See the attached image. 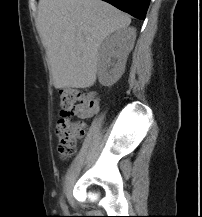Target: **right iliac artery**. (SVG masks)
Listing matches in <instances>:
<instances>
[{"label":"right iliac artery","instance_id":"1","mask_svg":"<svg viewBox=\"0 0 202 217\" xmlns=\"http://www.w3.org/2000/svg\"><path fill=\"white\" fill-rule=\"evenodd\" d=\"M61 208H62V210L64 211V212H66L67 211V206H66V204L64 203V200L62 199L61 200Z\"/></svg>","mask_w":202,"mask_h":217}]
</instances>
